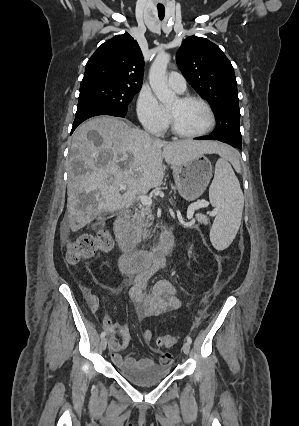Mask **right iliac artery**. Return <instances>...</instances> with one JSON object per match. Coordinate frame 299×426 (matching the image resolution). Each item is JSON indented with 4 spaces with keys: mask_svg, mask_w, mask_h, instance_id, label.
<instances>
[{
    "mask_svg": "<svg viewBox=\"0 0 299 426\" xmlns=\"http://www.w3.org/2000/svg\"><path fill=\"white\" fill-rule=\"evenodd\" d=\"M105 335H106V332H105V331H103V332L100 334V337H101V338H104V337H105Z\"/></svg>",
    "mask_w": 299,
    "mask_h": 426,
    "instance_id": "82829eb1",
    "label": "right iliac artery"
}]
</instances>
